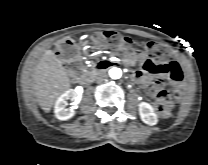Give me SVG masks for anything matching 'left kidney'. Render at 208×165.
I'll use <instances>...</instances> for the list:
<instances>
[{
    "instance_id": "5707ae66",
    "label": "left kidney",
    "mask_w": 208,
    "mask_h": 165,
    "mask_svg": "<svg viewBox=\"0 0 208 165\" xmlns=\"http://www.w3.org/2000/svg\"><path fill=\"white\" fill-rule=\"evenodd\" d=\"M139 115L141 120L148 125L157 124V115L154 112L153 107L147 102H141L139 104Z\"/></svg>"
}]
</instances>
